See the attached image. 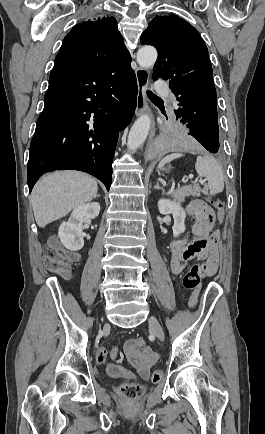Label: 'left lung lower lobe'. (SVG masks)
Returning <instances> with one entry per match:
<instances>
[{
    "mask_svg": "<svg viewBox=\"0 0 265 434\" xmlns=\"http://www.w3.org/2000/svg\"><path fill=\"white\" fill-rule=\"evenodd\" d=\"M192 135L203 147V149L217 153L221 150L219 143V129L197 128L190 129Z\"/></svg>",
    "mask_w": 265,
    "mask_h": 434,
    "instance_id": "left-lung-lower-lobe-1",
    "label": "left lung lower lobe"
}]
</instances>
